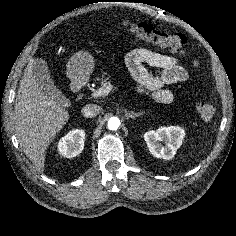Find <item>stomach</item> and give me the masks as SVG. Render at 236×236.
I'll return each mask as SVG.
<instances>
[{
  "label": "stomach",
  "mask_w": 236,
  "mask_h": 236,
  "mask_svg": "<svg viewBox=\"0 0 236 236\" xmlns=\"http://www.w3.org/2000/svg\"><path fill=\"white\" fill-rule=\"evenodd\" d=\"M93 57L84 51L74 54L67 63V76L71 80H85L93 72Z\"/></svg>",
  "instance_id": "stomach-1"
}]
</instances>
